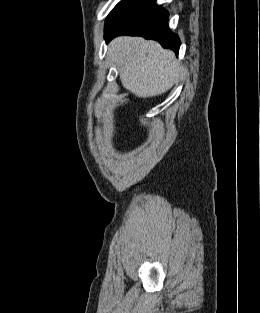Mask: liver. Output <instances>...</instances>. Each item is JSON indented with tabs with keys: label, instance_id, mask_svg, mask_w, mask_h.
I'll return each mask as SVG.
<instances>
[{
	"label": "liver",
	"instance_id": "1",
	"mask_svg": "<svg viewBox=\"0 0 260 313\" xmlns=\"http://www.w3.org/2000/svg\"><path fill=\"white\" fill-rule=\"evenodd\" d=\"M108 53L118 67L123 87L137 97L161 95L181 77L175 54L156 41L117 37L109 44Z\"/></svg>",
	"mask_w": 260,
	"mask_h": 313
}]
</instances>
